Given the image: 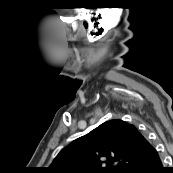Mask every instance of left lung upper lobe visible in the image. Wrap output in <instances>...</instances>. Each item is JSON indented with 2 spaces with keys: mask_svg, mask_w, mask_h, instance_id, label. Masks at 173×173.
I'll return each instance as SVG.
<instances>
[{
  "mask_svg": "<svg viewBox=\"0 0 173 173\" xmlns=\"http://www.w3.org/2000/svg\"><path fill=\"white\" fill-rule=\"evenodd\" d=\"M152 145L122 120L107 121L74 140L53 160V173H132Z\"/></svg>",
  "mask_w": 173,
  "mask_h": 173,
  "instance_id": "5c2ea615",
  "label": "left lung upper lobe"
}]
</instances>
